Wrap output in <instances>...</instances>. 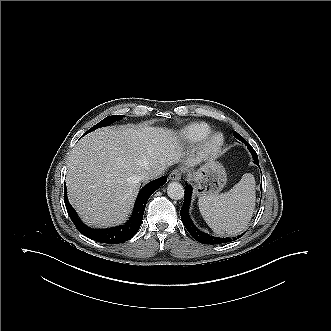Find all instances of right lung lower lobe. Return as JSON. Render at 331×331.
I'll return each instance as SVG.
<instances>
[{
  "mask_svg": "<svg viewBox=\"0 0 331 331\" xmlns=\"http://www.w3.org/2000/svg\"><path fill=\"white\" fill-rule=\"evenodd\" d=\"M166 181L167 178L163 176L146 184L140 190L135 202L133 213L130 219L122 226L107 229H92L86 226L82 221H80L75 210L70 205L67 199L66 186L64 187L65 206L71 220L83 235L101 243L118 244L129 240L137 233L142 222L147 200L153 194V192L156 191L160 186L164 185Z\"/></svg>",
  "mask_w": 331,
  "mask_h": 331,
  "instance_id": "1",
  "label": "right lung lower lobe"
}]
</instances>
